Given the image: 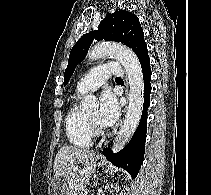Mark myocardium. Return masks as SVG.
<instances>
[{
    "mask_svg": "<svg viewBox=\"0 0 211 195\" xmlns=\"http://www.w3.org/2000/svg\"><path fill=\"white\" fill-rule=\"evenodd\" d=\"M89 121H90V125H91V130L93 131L94 134H96V135L104 134V131L101 128V126L99 125V123L97 122V120H95L92 117H89Z\"/></svg>",
    "mask_w": 211,
    "mask_h": 195,
    "instance_id": "1",
    "label": "myocardium"
}]
</instances>
